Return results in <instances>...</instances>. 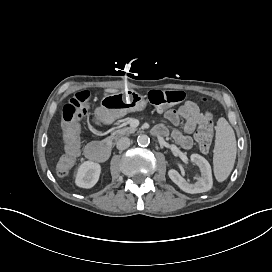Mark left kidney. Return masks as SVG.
<instances>
[{
	"mask_svg": "<svg viewBox=\"0 0 272 272\" xmlns=\"http://www.w3.org/2000/svg\"><path fill=\"white\" fill-rule=\"evenodd\" d=\"M191 161L196 163L201 171V176L195 183H188L177 171L169 172L170 178L187 193H202L210 190L213 186L212 169L209 162L199 154H192Z\"/></svg>",
	"mask_w": 272,
	"mask_h": 272,
	"instance_id": "obj_1",
	"label": "left kidney"
}]
</instances>
